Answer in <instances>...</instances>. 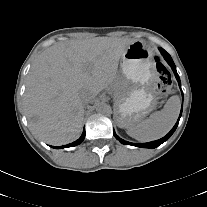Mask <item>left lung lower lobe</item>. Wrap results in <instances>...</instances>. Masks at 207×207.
Returning <instances> with one entry per match:
<instances>
[{"label": "left lung lower lobe", "instance_id": "left-lung-lower-lobe-1", "mask_svg": "<svg viewBox=\"0 0 207 207\" xmlns=\"http://www.w3.org/2000/svg\"><path fill=\"white\" fill-rule=\"evenodd\" d=\"M161 54L163 55L164 59L167 61V63L171 66L174 74H175V77L178 81V84H179V87L181 88V82H180V78H179V75L176 71V66L171 58V56L162 48H159ZM183 94V93H182ZM181 114H182V109H181V113H180V116L178 118V121L177 123L175 124V126L172 128V130L166 135L164 136L163 138L159 139V140H156V141H152V142H149V143H143V144H137V143H131V142H127V141H124L122 139H120V137H118L115 132L113 131V135L115 136V138L117 140H119L122 144H126V145H132V146H137V147H143V148H156L158 147L159 145H161L163 142H165L166 140L169 139V137L174 133V131L176 130L177 126H178V123H179V120H180V117H181Z\"/></svg>", "mask_w": 207, "mask_h": 207}]
</instances>
